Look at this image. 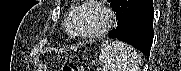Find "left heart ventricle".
<instances>
[{"label": "left heart ventricle", "mask_w": 181, "mask_h": 71, "mask_svg": "<svg viewBox=\"0 0 181 71\" xmlns=\"http://www.w3.org/2000/svg\"><path fill=\"white\" fill-rule=\"evenodd\" d=\"M103 14L94 7L84 9L79 18L78 30L81 33H91L104 24Z\"/></svg>", "instance_id": "b2bd125f"}]
</instances>
